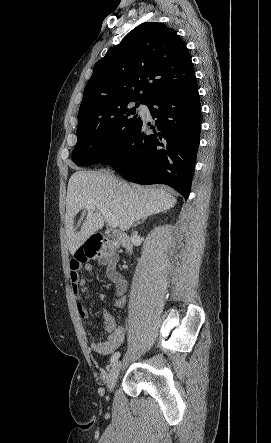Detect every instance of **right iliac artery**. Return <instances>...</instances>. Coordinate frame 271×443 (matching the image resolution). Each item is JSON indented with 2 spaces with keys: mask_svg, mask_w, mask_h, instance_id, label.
Segmentation results:
<instances>
[{
  "mask_svg": "<svg viewBox=\"0 0 271 443\" xmlns=\"http://www.w3.org/2000/svg\"><path fill=\"white\" fill-rule=\"evenodd\" d=\"M119 357H120V352H115V353L111 356V359H110V361H111V365L115 364Z\"/></svg>",
  "mask_w": 271,
  "mask_h": 443,
  "instance_id": "obj_1",
  "label": "right iliac artery"
}]
</instances>
